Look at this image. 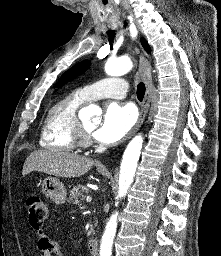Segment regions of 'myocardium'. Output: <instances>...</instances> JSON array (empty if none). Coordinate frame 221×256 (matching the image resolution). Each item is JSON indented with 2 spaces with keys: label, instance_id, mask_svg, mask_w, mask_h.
Masks as SVG:
<instances>
[{
  "label": "myocardium",
  "instance_id": "1",
  "mask_svg": "<svg viewBox=\"0 0 221 256\" xmlns=\"http://www.w3.org/2000/svg\"><path fill=\"white\" fill-rule=\"evenodd\" d=\"M78 142L83 146L90 144V131H88L81 122L78 128Z\"/></svg>",
  "mask_w": 221,
  "mask_h": 256
}]
</instances>
